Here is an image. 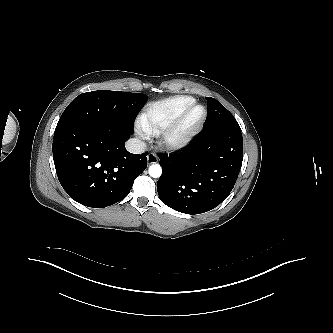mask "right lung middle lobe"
<instances>
[{"mask_svg": "<svg viewBox=\"0 0 333 333\" xmlns=\"http://www.w3.org/2000/svg\"><path fill=\"white\" fill-rule=\"evenodd\" d=\"M147 100L148 97L141 93L106 90L83 93L68 105L57 125L129 133Z\"/></svg>", "mask_w": 333, "mask_h": 333, "instance_id": "1", "label": "right lung middle lobe"}]
</instances>
